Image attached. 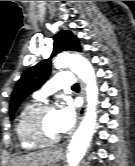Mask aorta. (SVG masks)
Here are the masks:
<instances>
[{"mask_svg":"<svg viewBox=\"0 0 135 166\" xmlns=\"http://www.w3.org/2000/svg\"><path fill=\"white\" fill-rule=\"evenodd\" d=\"M55 66L58 69L68 67L86 84L87 111L83 121L71 139L67 154L68 165L77 166L86 152L96 126L98 88L95 72L87 59L74 54L62 53L58 55L55 60Z\"/></svg>","mask_w":135,"mask_h":166,"instance_id":"762f6f07","label":"aorta"}]
</instances>
